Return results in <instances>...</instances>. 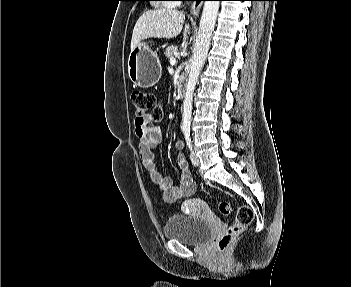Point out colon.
<instances>
[{
  "instance_id": "1",
  "label": "colon",
  "mask_w": 351,
  "mask_h": 287,
  "mask_svg": "<svg viewBox=\"0 0 351 287\" xmlns=\"http://www.w3.org/2000/svg\"><path fill=\"white\" fill-rule=\"evenodd\" d=\"M132 103L135 108L136 119L143 122L148 116L152 120L158 121L161 119L162 112L159 101L156 96L149 92L135 91L132 93ZM219 211L224 216H229L231 206L228 202L222 201L219 204ZM254 217L253 210L248 205L238 207L234 222L229 226L227 231L218 239L217 246L223 251L230 243L252 222Z\"/></svg>"
}]
</instances>
